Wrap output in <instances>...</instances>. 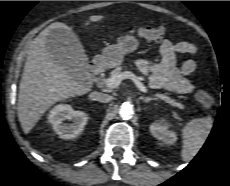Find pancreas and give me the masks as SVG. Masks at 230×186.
<instances>
[{"label":"pancreas","instance_id":"cf45deb5","mask_svg":"<svg viewBox=\"0 0 230 186\" xmlns=\"http://www.w3.org/2000/svg\"><path fill=\"white\" fill-rule=\"evenodd\" d=\"M122 73V67L118 66L116 67L111 73L110 76H114L116 74H121ZM106 80H104L105 82ZM157 99H161L164 102L168 103L169 105H171L172 107H176L179 109H184V105L177 102L175 99H172L171 97L166 96L165 94H156V100Z\"/></svg>","mask_w":230,"mask_h":186}]
</instances>
